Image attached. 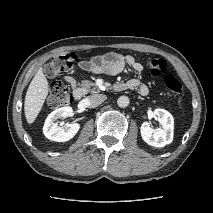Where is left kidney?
<instances>
[{"mask_svg": "<svg viewBox=\"0 0 213 213\" xmlns=\"http://www.w3.org/2000/svg\"><path fill=\"white\" fill-rule=\"evenodd\" d=\"M153 114L157 116L162 129H153L148 122H144L140 128L141 137L148 145L162 148L173 141L174 119L165 109H155Z\"/></svg>", "mask_w": 213, "mask_h": 213, "instance_id": "left-kidney-1", "label": "left kidney"}]
</instances>
